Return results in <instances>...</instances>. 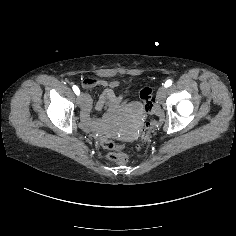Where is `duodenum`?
<instances>
[{
	"label": "duodenum",
	"instance_id": "obj_1",
	"mask_svg": "<svg viewBox=\"0 0 236 236\" xmlns=\"http://www.w3.org/2000/svg\"><path fill=\"white\" fill-rule=\"evenodd\" d=\"M118 104L119 99L115 97L113 92L111 90L105 91L100 97L96 106H98L100 109L106 106L108 108V112L103 118L92 119L87 115V112L91 108V100L87 98L81 118L82 125L88 130H93L102 126L115 113L118 108Z\"/></svg>",
	"mask_w": 236,
	"mask_h": 236
}]
</instances>
